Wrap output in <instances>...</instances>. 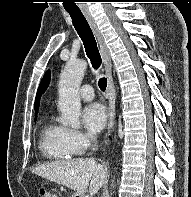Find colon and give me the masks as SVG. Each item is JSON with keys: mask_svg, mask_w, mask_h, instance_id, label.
I'll return each mask as SVG.
<instances>
[{"mask_svg": "<svg viewBox=\"0 0 191 197\" xmlns=\"http://www.w3.org/2000/svg\"><path fill=\"white\" fill-rule=\"evenodd\" d=\"M40 196L41 197H55L51 192H49L48 190L44 188L40 189Z\"/></svg>", "mask_w": 191, "mask_h": 197, "instance_id": "5ec220e1", "label": "colon"}]
</instances>
